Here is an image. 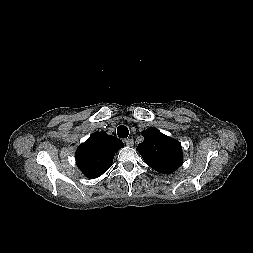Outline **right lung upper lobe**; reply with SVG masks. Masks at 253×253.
Returning a JSON list of instances; mask_svg holds the SVG:
<instances>
[{"instance_id":"1","label":"right lung upper lobe","mask_w":253,"mask_h":253,"mask_svg":"<svg viewBox=\"0 0 253 253\" xmlns=\"http://www.w3.org/2000/svg\"><path fill=\"white\" fill-rule=\"evenodd\" d=\"M124 147L116 137L95 132L76 151V164L88 178L101 176L112 165L115 153Z\"/></svg>"}]
</instances>
